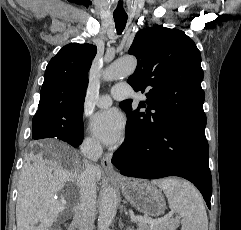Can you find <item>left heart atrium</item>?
<instances>
[{
	"mask_svg": "<svg viewBox=\"0 0 241 230\" xmlns=\"http://www.w3.org/2000/svg\"><path fill=\"white\" fill-rule=\"evenodd\" d=\"M91 132L105 145L117 143L124 132V120L121 113L115 108L98 112L92 119Z\"/></svg>",
	"mask_w": 241,
	"mask_h": 230,
	"instance_id": "left-heart-atrium-1",
	"label": "left heart atrium"
}]
</instances>
